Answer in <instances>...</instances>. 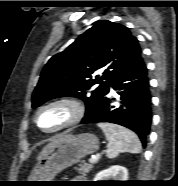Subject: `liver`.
Masks as SVG:
<instances>
[{"instance_id": "liver-1", "label": "liver", "mask_w": 178, "mask_h": 186, "mask_svg": "<svg viewBox=\"0 0 178 186\" xmlns=\"http://www.w3.org/2000/svg\"><path fill=\"white\" fill-rule=\"evenodd\" d=\"M62 138V136H58L57 138H55L52 142H50L49 144H47L43 150L40 152V154L37 157V160L40 161L47 153L50 149H52L58 142L59 140Z\"/></svg>"}]
</instances>
